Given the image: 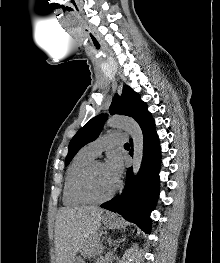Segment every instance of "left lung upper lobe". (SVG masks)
I'll use <instances>...</instances> for the list:
<instances>
[{
  "mask_svg": "<svg viewBox=\"0 0 220 263\" xmlns=\"http://www.w3.org/2000/svg\"><path fill=\"white\" fill-rule=\"evenodd\" d=\"M109 113L121 114L134 118L141 129L144 130L152 121L151 114L147 110V105L140 99V96L128 85L123 87L121 96H114ZM107 118L106 114H100L92 118L84 127H82L69 143V150L65 159V165L73 159L75 154L87 143L95 140L104 125Z\"/></svg>",
  "mask_w": 220,
  "mask_h": 263,
  "instance_id": "obj_1",
  "label": "left lung upper lobe"
}]
</instances>
